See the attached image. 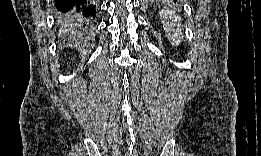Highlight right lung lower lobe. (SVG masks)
<instances>
[{"label": "right lung lower lobe", "mask_w": 261, "mask_h": 156, "mask_svg": "<svg viewBox=\"0 0 261 156\" xmlns=\"http://www.w3.org/2000/svg\"><path fill=\"white\" fill-rule=\"evenodd\" d=\"M55 5L60 23L66 26L85 27L96 13L92 0H55Z\"/></svg>", "instance_id": "obj_1"}]
</instances>
